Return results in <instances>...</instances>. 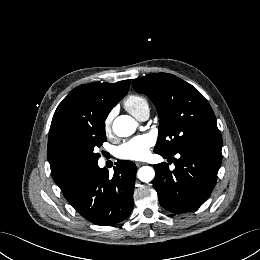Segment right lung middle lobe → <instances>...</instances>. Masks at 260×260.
I'll use <instances>...</instances> for the list:
<instances>
[{
	"mask_svg": "<svg viewBox=\"0 0 260 260\" xmlns=\"http://www.w3.org/2000/svg\"><path fill=\"white\" fill-rule=\"evenodd\" d=\"M105 141V123L89 128L83 133L76 149L77 161L82 171L98 164L100 154L96 153V149Z\"/></svg>",
	"mask_w": 260,
	"mask_h": 260,
	"instance_id": "right-lung-middle-lobe-1",
	"label": "right lung middle lobe"
}]
</instances>
